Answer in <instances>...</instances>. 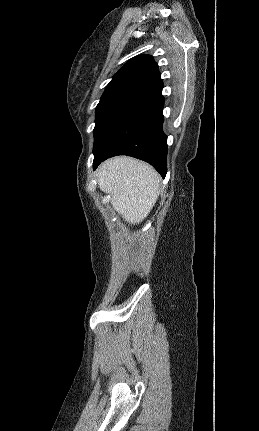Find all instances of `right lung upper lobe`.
Returning a JSON list of instances; mask_svg holds the SVG:
<instances>
[{
    "label": "right lung upper lobe",
    "instance_id": "1",
    "mask_svg": "<svg viewBox=\"0 0 259 431\" xmlns=\"http://www.w3.org/2000/svg\"><path fill=\"white\" fill-rule=\"evenodd\" d=\"M128 83H138L151 92L163 87L157 63L150 55H138L129 60L112 78L105 91L118 89Z\"/></svg>",
    "mask_w": 259,
    "mask_h": 431
}]
</instances>
